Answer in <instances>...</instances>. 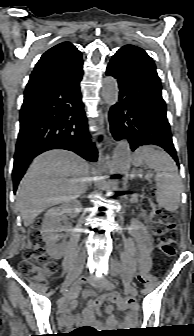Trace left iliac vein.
Masks as SVG:
<instances>
[{
	"instance_id": "1",
	"label": "left iliac vein",
	"mask_w": 194,
	"mask_h": 336,
	"mask_svg": "<svg viewBox=\"0 0 194 336\" xmlns=\"http://www.w3.org/2000/svg\"><path fill=\"white\" fill-rule=\"evenodd\" d=\"M109 268L111 271V274L114 276H120L121 273V266L119 262L113 258L109 259ZM95 282V281H93ZM127 291L132 295V296H137L138 295V290L136 289L135 286L133 285H128L127 286Z\"/></svg>"
}]
</instances>
